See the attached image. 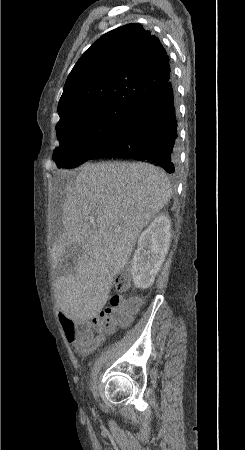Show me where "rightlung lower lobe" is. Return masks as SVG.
I'll return each mask as SVG.
<instances>
[{
    "label": "right lung lower lobe",
    "instance_id": "right-lung-lower-lobe-1",
    "mask_svg": "<svg viewBox=\"0 0 245 450\" xmlns=\"http://www.w3.org/2000/svg\"><path fill=\"white\" fill-rule=\"evenodd\" d=\"M177 139L174 88L170 78L159 91L133 109L122 136L90 159H135L158 165L173 174L178 161Z\"/></svg>",
    "mask_w": 245,
    "mask_h": 450
}]
</instances>
